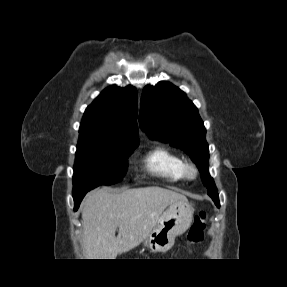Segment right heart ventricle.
Returning a JSON list of instances; mask_svg holds the SVG:
<instances>
[{
  "label": "right heart ventricle",
  "instance_id": "1",
  "mask_svg": "<svg viewBox=\"0 0 287 287\" xmlns=\"http://www.w3.org/2000/svg\"><path fill=\"white\" fill-rule=\"evenodd\" d=\"M183 158L173 150L157 146L145 157V168L153 175L170 183H178L184 179Z\"/></svg>",
  "mask_w": 287,
  "mask_h": 287
}]
</instances>
